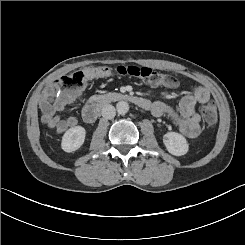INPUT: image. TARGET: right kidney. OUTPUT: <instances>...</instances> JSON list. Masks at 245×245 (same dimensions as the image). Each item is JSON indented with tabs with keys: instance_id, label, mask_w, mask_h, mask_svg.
I'll list each match as a JSON object with an SVG mask.
<instances>
[{
	"instance_id": "ca27d5eb",
	"label": "right kidney",
	"mask_w": 245,
	"mask_h": 245,
	"mask_svg": "<svg viewBox=\"0 0 245 245\" xmlns=\"http://www.w3.org/2000/svg\"><path fill=\"white\" fill-rule=\"evenodd\" d=\"M86 131L82 126H75L67 130L69 135V152L79 149L85 140Z\"/></svg>"
}]
</instances>
